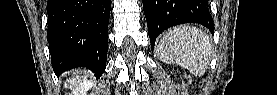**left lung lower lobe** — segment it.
<instances>
[{"mask_svg":"<svg viewBox=\"0 0 277 95\" xmlns=\"http://www.w3.org/2000/svg\"><path fill=\"white\" fill-rule=\"evenodd\" d=\"M151 46L165 29L184 23H198L213 31L207 0H142Z\"/></svg>","mask_w":277,"mask_h":95,"instance_id":"obj_1","label":"left lung lower lobe"}]
</instances>
